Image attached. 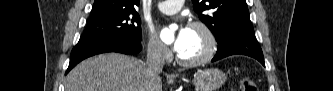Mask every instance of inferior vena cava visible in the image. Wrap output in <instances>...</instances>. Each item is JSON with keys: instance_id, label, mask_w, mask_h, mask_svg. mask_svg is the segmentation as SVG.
Here are the masks:
<instances>
[{"instance_id": "inferior-vena-cava-1", "label": "inferior vena cava", "mask_w": 333, "mask_h": 91, "mask_svg": "<svg viewBox=\"0 0 333 91\" xmlns=\"http://www.w3.org/2000/svg\"><path fill=\"white\" fill-rule=\"evenodd\" d=\"M165 63V46L163 43H155L148 47L146 68L147 75L151 79H156L162 72Z\"/></svg>"}]
</instances>
